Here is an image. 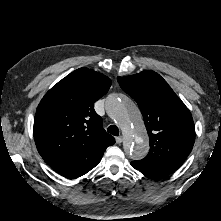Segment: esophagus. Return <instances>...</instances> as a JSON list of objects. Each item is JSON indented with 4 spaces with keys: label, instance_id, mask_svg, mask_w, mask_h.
<instances>
[{
    "label": "esophagus",
    "instance_id": "34e87169",
    "mask_svg": "<svg viewBox=\"0 0 221 221\" xmlns=\"http://www.w3.org/2000/svg\"><path fill=\"white\" fill-rule=\"evenodd\" d=\"M122 141H123L122 136H118V137L116 138V143H117V144H121Z\"/></svg>",
    "mask_w": 221,
    "mask_h": 221
}]
</instances>
